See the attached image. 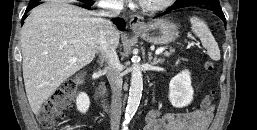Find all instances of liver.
Instances as JSON below:
<instances>
[{"instance_id":"1","label":"liver","mask_w":257,"mask_h":130,"mask_svg":"<svg viewBox=\"0 0 257 130\" xmlns=\"http://www.w3.org/2000/svg\"><path fill=\"white\" fill-rule=\"evenodd\" d=\"M101 25L97 14L58 0L31 11L20 42L26 95L35 114L65 80L93 61ZM72 57L77 61L70 62Z\"/></svg>"}]
</instances>
